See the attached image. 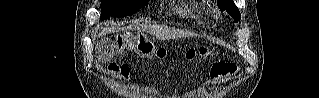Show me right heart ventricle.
<instances>
[{
	"label": "right heart ventricle",
	"mask_w": 319,
	"mask_h": 98,
	"mask_svg": "<svg viewBox=\"0 0 319 98\" xmlns=\"http://www.w3.org/2000/svg\"><path fill=\"white\" fill-rule=\"evenodd\" d=\"M199 11L200 8L195 5H187L177 9L178 14L187 20H195Z\"/></svg>",
	"instance_id": "1"
}]
</instances>
